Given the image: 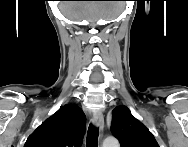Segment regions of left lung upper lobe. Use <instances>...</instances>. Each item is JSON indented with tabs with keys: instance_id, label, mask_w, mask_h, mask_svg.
<instances>
[{
	"instance_id": "obj_1",
	"label": "left lung upper lobe",
	"mask_w": 188,
	"mask_h": 147,
	"mask_svg": "<svg viewBox=\"0 0 188 147\" xmlns=\"http://www.w3.org/2000/svg\"><path fill=\"white\" fill-rule=\"evenodd\" d=\"M111 131L121 147H159L153 134L126 106H118L112 111Z\"/></svg>"
}]
</instances>
